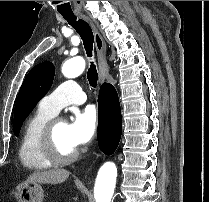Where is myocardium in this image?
Instances as JSON below:
<instances>
[{
	"mask_svg": "<svg viewBox=\"0 0 209 202\" xmlns=\"http://www.w3.org/2000/svg\"><path fill=\"white\" fill-rule=\"evenodd\" d=\"M59 121H61L60 118H54L46 124L41 134L40 145L44 154L52 162L58 164L71 163L78 158L79 150L75 149L68 154L59 150L55 140V129Z\"/></svg>",
	"mask_w": 209,
	"mask_h": 202,
	"instance_id": "obj_1",
	"label": "myocardium"
}]
</instances>
